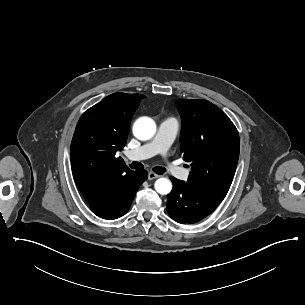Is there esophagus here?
Masks as SVG:
<instances>
[{
  "label": "esophagus",
  "instance_id": "esophagus-1",
  "mask_svg": "<svg viewBox=\"0 0 305 305\" xmlns=\"http://www.w3.org/2000/svg\"><path fill=\"white\" fill-rule=\"evenodd\" d=\"M158 177H160V175H157L156 173H153V172H149V174H148V180H153Z\"/></svg>",
  "mask_w": 305,
  "mask_h": 305
}]
</instances>
